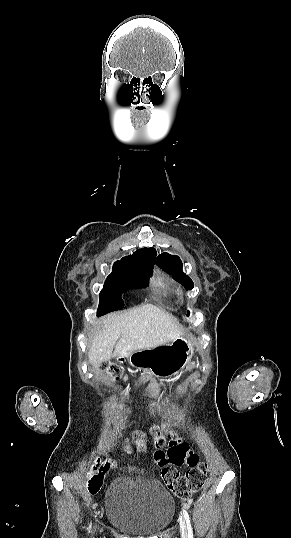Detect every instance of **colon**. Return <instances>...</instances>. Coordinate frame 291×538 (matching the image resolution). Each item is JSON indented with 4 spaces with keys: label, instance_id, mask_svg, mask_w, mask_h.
Listing matches in <instances>:
<instances>
[{
    "label": "colon",
    "instance_id": "obj_1",
    "mask_svg": "<svg viewBox=\"0 0 291 538\" xmlns=\"http://www.w3.org/2000/svg\"><path fill=\"white\" fill-rule=\"evenodd\" d=\"M122 360L117 362L105 363L102 369L113 379L120 377L122 373ZM152 436L155 439L156 445L159 447L167 446L166 450H158L155 454V459L164 465L162 477L165 485L179 498H189L194 493L198 492L203 486L207 474V465L199 462L196 454L190 449L186 442H178L171 435V440L167 443L158 425H153L150 429ZM146 442V433L136 431L134 442L127 444L126 452H131L133 447L137 450H144ZM186 463L190 468L185 474H180L173 466ZM113 467L110 461L100 464L94 462L91 467V473L88 477L87 488L91 493L99 490L103 476Z\"/></svg>",
    "mask_w": 291,
    "mask_h": 538
}]
</instances>
